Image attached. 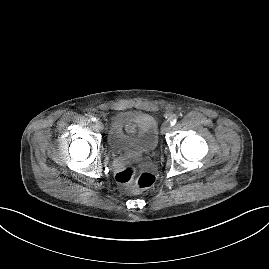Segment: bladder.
Instances as JSON below:
<instances>
[{
	"label": "bladder",
	"instance_id": "1",
	"mask_svg": "<svg viewBox=\"0 0 269 269\" xmlns=\"http://www.w3.org/2000/svg\"><path fill=\"white\" fill-rule=\"evenodd\" d=\"M158 141V125L152 116L130 111L114 115L108 131V144L115 154L150 155Z\"/></svg>",
	"mask_w": 269,
	"mask_h": 269
}]
</instances>
